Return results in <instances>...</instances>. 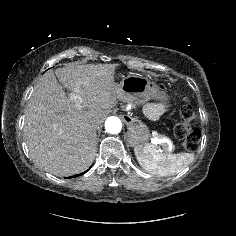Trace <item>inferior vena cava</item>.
<instances>
[{
  "label": "inferior vena cava",
  "instance_id": "1",
  "mask_svg": "<svg viewBox=\"0 0 236 236\" xmlns=\"http://www.w3.org/2000/svg\"><path fill=\"white\" fill-rule=\"evenodd\" d=\"M99 125H100V124H99L97 121H93L92 124H91V128L94 129V130H96V129L99 128Z\"/></svg>",
  "mask_w": 236,
  "mask_h": 236
}]
</instances>
